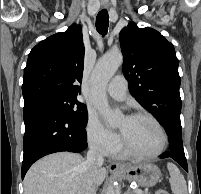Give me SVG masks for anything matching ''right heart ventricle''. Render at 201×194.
I'll return each instance as SVG.
<instances>
[{
  "mask_svg": "<svg viewBox=\"0 0 201 194\" xmlns=\"http://www.w3.org/2000/svg\"><path fill=\"white\" fill-rule=\"evenodd\" d=\"M112 156L114 157H118V158H122L124 157L126 154L124 153V151L118 147L116 150H114L112 153H111Z\"/></svg>",
  "mask_w": 201,
  "mask_h": 194,
  "instance_id": "right-heart-ventricle-1",
  "label": "right heart ventricle"
}]
</instances>
